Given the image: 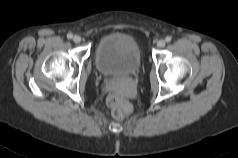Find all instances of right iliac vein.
<instances>
[{
	"label": "right iliac vein",
	"mask_w": 238,
	"mask_h": 158,
	"mask_svg": "<svg viewBox=\"0 0 238 158\" xmlns=\"http://www.w3.org/2000/svg\"><path fill=\"white\" fill-rule=\"evenodd\" d=\"M73 41H74L75 43H80V42H81V37L78 36V35H75V36L73 37Z\"/></svg>",
	"instance_id": "1"
}]
</instances>
